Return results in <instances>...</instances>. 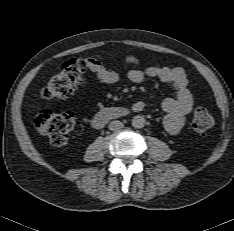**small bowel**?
<instances>
[{"label": "small bowel", "instance_id": "c3829d8e", "mask_svg": "<svg viewBox=\"0 0 234 231\" xmlns=\"http://www.w3.org/2000/svg\"><path fill=\"white\" fill-rule=\"evenodd\" d=\"M126 64L137 65L142 62L141 58L135 55L125 57ZM90 68L97 75L98 79L105 84H115L119 81V75L94 59H90ZM128 79L133 83H141L146 77L157 78L163 83L169 84L175 91V98H166L159 102L136 101L131 108L135 112L147 108L157 107L165 112L163 126L172 134H178L186 120V116L193 107V97L188 89V79L185 71L180 67H166L158 64H149L145 69H131L127 73Z\"/></svg>", "mask_w": 234, "mask_h": 231}]
</instances>
